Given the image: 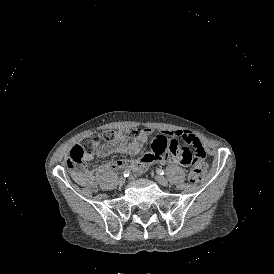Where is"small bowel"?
Segmentation results:
<instances>
[{
	"instance_id": "1",
	"label": "small bowel",
	"mask_w": 274,
	"mask_h": 274,
	"mask_svg": "<svg viewBox=\"0 0 274 274\" xmlns=\"http://www.w3.org/2000/svg\"><path fill=\"white\" fill-rule=\"evenodd\" d=\"M153 133L151 128H142L134 140L129 143L123 141L105 142L97 147L96 154L99 157H106L116 153L137 154L142 147L148 142ZM168 135L181 138L184 142L176 139H170L167 135H160L151 147V153L142 151L136 160L117 159L111 163H104L96 169V173H104L111 169H139L146 170L149 166H155L162 161L172 164H180L181 166H190L194 162V158L198 154L206 156L205 147L201 140L190 131L177 130L165 132ZM194 150V151H193ZM94 157V153H85L82 160L90 162ZM73 179L80 184H87L93 178V173L87 170H75L72 172Z\"/></svg>"
}]
</instances>
